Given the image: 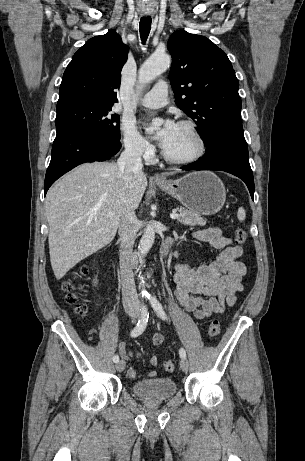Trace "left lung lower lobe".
I'll return each mask as SVG.
<instances>
[{
    "instance_id": "obj_1",
    "label": "left lung lower lobe",
    "mask_w": 305,
    "mask_h": 461,
    "mask_svg": "<svg viewBox=\"0 0 305 461\" xmlns=\"http://www.w3.org/2000/svg\"><path fill=\"white\" fill-rule=\"evenodd\" d=\"M206 153L198 161L181 167L183 170H221L242 179L254 198V180L249 164L247 143L241 121L220 124L211 133Z\"/></svg>"
}]
</instances>
